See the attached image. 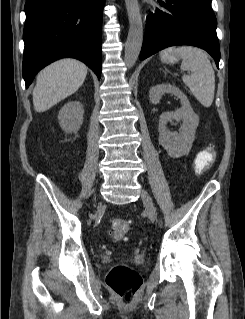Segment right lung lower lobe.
Here are the masks:
<instances>
[{"mask_svg":"<svg viewBox=\"0 0 245 319\" xmlns=\"http://www.w3.org/2000/svg\"><path fill=\"white\" fill-rule=\"evenodd\" d=\"M105 0H27L23 78L29 87L51 62L72 57L101 77V24Z\"/></svg>","mask_w":245,"mask_h":319,"instance_id":"1","label":"right lung lower lobe"}]
</instances>
